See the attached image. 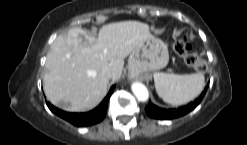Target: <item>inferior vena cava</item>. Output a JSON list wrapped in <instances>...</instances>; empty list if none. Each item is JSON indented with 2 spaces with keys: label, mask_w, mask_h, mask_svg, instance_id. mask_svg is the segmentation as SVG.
I'll use <instances>...</instances> for the list:
<instances>
[{
  "label": "inferior vena cava",
  "mask_w": 247,
  "mask_h": 145,
  "mask_svg": "<svg viewBox=\"0 0 247 145\" xmlns=\"http://www.w3.org/2000/svg\"><path fill=\"white\" fill-rule=\"evenodd\" d=\"M101 74L107 79L112 78V73H111V70L109 68H103Z\"/></svg>",
  "instance_id": "602c4592"
}]
</instances>
